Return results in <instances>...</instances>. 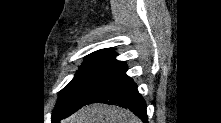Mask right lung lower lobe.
Masks as SVG:
<instances>
[{
  "mask_svg": "<svg viewBox=\"0 0 221 123\" xmlns=\"http://www.w3.org/2000/svg\"><path fill=\"white\" fill-rule=\"evenodd\" d=\"M126 70L125 65L104 80L94 90L87 104L98 102L128 108L147 123L146 104L138 93L136 84L126 75ZM65 117L67 116L54 113L52 119L58 120Z\"/></svg>",
  "mask_w": 221,
  "mask_h": 123,
  "instance_id": "obj_1",
  "label": "right lung lower lobe"
}]
</instances>
